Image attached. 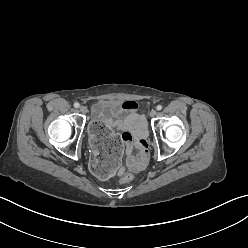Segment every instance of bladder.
Listing matches in <instances>:
<instances>
[{"instance_id": "31cf9c89", "label": "bladder", "mask_w": 248, "mask_h": 248, "mask_svg": "<svg viewBox=\"0 0 248 248\" xmlns=\"http://www.w3.org/2000/svg\"><path fill=\"white\" fill-rule=\"evenodd\" d=\"M128 113L124 110L113 112L109 109L107 101L100 100L93 106L92 118L94 122H105L108 120L120 121L126 117Z\"/></svg>"}]
</instances>
